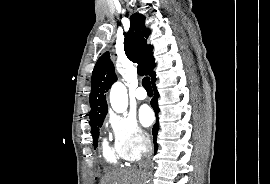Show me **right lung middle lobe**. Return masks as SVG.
<instances>
[{"mask_svg":"<svg viewBox=\"0 0 270 184\" xmlns=\"http://www.w3.org/2000/svg\"><path fill=\"white\" fill-rule=\"evenodd\" d=\"M102 124H103V121H100V122H97V123L91 125V133H92V137H93L94 148H96L98 145L99 127H101Z\"/></svg>","mask_w":270,"mask_h":184,"instance_id":"1","label":"right lung middle lobe"}]
</instances>
